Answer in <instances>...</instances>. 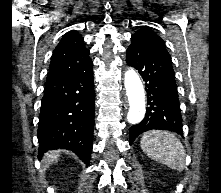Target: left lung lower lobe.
Wrapping results in <instances>:
<instances>
[{
    "instance_id": "0a47b994",
    "label": "left lung lower lobe",
    "mask_w": 221,
    "mask_h": 193,
    "mask_svg": "<svg viewBox=\"0 0 221 193\" xmlns=\"http://www.w3.org/2000/svg\"><path fill=\"white\" fill-rule=\"evenodd\" d=\"M128 65L137 69L146 82L147 105L145 118L130 128V144L141 133L169 130L183 135L182 118L175 73L171 58L158 55L143 46L131 43L127 49Z\"/></svg>"
}]
</instances>
